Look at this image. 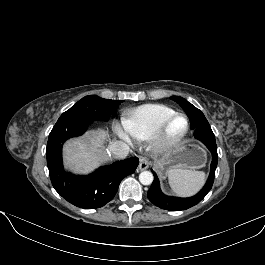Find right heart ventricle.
Masks as SVG:
<instances>
[{
    "instance_id": "e07e8e85",
    "label": "right heart ventricle",
    "mask_w": 265,
    "mask_h": 265,
    "mask_svg": "<svg viewBox=\"0 0 265 265\" xmlns=\"http://www.w3.org/2000/svg\"><path fill=\"white\" fill-rule=\"evenodd\" d=\"M174 110L163 104H145L123 113V124L133 139H149Z\"/></svg>"
}]
</instances>
